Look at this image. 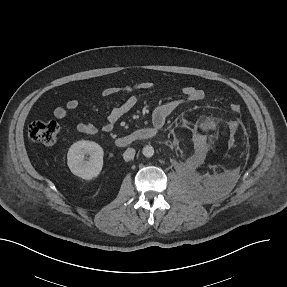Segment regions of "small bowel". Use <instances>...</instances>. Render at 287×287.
<instances>
[{"label": "small bowel", "mask_w": 287, "mask_h": 287, "mask_svg": "<svg viewBox=\"0 0 287 287\" xmlns=\"http://www.w3.org/2000/svg\"><path fill=\"white\" fill-rule=\"evenodd\" d=\"M152 84L148 81H137L130 85L117 87L109 86L103 89V96H113L119 93L127 95L126 99L119 105L113 107L109 112L106 121L97 126L90 122H79L77 124V130L83 134H95L99 130L103 132H110L115 124L126 114L131 112L138 104V92L149 90ZM205 93L202 89L195 86H185L182 89V95L180 97L171 99L158 107H156L152 113V124L157 130L164 127L169 116L185 102H198L202 100ZM78 101L76 99H70L63 106H58L54 109V116L59 119H65L70 111L78 108Z\"/></svg>", "instance_id": "obj_1"}]
</instances>
